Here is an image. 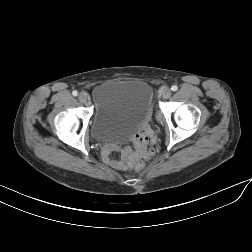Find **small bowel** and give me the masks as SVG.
<instances>
[{
  "mask_svg": "<svg viewBox=\"0 0 252 252\" xmlns=\"http://www.w3.org/2000/svg\"><path fill=\"white\" fill-rule=\"evenodd\" d=\"M148 131H139L132 137L133 149L128 147L120 150V159H112L109 150L104 151V161L113 168L127 169L139 160L143 155L146 156V149L148 145Z\"/></svg>",
  "mask_w": 252,
  "mask_h": 252,
  "instance_id": "1",
  "label": "small bowel"
}]
</instances>
